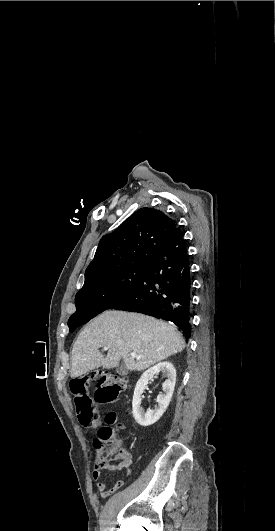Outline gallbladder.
Here are the masks:
<instances>
[{"label":"gallbladder","instance_id":"1","mask_svg":"<svg viewBox=\"0 0 275 531\" xmlns=\"http://www.w3.org/2000/svg\"><path fill=\"white\" fill-rule=\"evenodd\" d=\"M116 373H118V375H128V371L124 363H119L118 367H116Z\"/></svg>","mask_w":275,"mask_h":531}]
</instances>
